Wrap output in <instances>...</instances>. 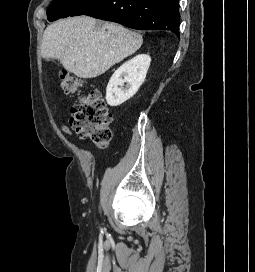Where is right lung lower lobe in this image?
Wrapping results in <instances>:
<instances>
[{
	"label": "right lung lower lobe",
	"mask_w": 255,
	"mask_h": 272,
	"mask_svg": "<svg viewBox=\"0 0 255 272\" xmlns=\"http://www.w3.org/2000/svg\"><path fill=\"white\" fill-rule=\"evenodd\" d=\"M179 0H90L70 16L88 15L133 29L170 30L179 37Z\"/></svg>",
	"instance_id": "98d812e1"
}]
</instances>
